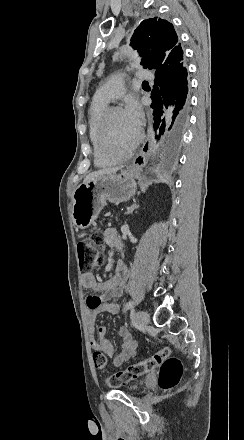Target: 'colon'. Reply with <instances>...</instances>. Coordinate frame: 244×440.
I'll return each instance as SVG.
<instances>
[{"label":"colon","instance_id":"1","mask_svg":"<svg viewBox=\"0 0 244 440\" xmlns=\"http://www.w3.org/2000/svg\"><path fill=\"white\" fill-rule=\"evenodd\" d=\"M103 244L104 238L99 232L89 237L78 239L76 245L77 256L83 273H90L100 263L98 249ZM92 362L98 371H104L108 367V358L101 351L93 352ZM158 366L160 367L158 372L159 387L163 390L175 387L183 375V367L176 357L170 355L168 348H163L148 358L128 365L117 373H109L108 380L111 386L117 387L149 374Z\"/></svg>","mask_w":244,"mask_h":440}]
</instances>
